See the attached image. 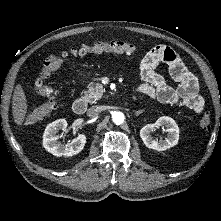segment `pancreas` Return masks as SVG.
<instances>
[{
  "label": "pancreas",
  "instance_id": "pancreas-1",
  "mask_svg": "<svg viewBox=\"0 0 221 221\" xmlns=\"http://www.w3.org/2000/svg\"><path fill=\"white\" fill-rule=\"evenodd\" d=\"M104 91L102 84H92L87 91H84L83 99L86 102L94 103L102 97Z\"/></svg>",
  "mask_w": 221,
  "mask_h": 221
}]
</instances>
